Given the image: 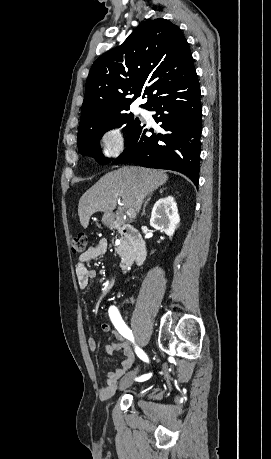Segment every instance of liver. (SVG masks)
<instances>
[{"label": "liver", "instance_id": "6515ba94", "mask_svg": "<svg viewBox=\"0 0 271 459\" xmlns=\"http://www.w3.org/2000/svg\"><path fill=\"white\" fill-rule=\"evenodd\" d=\"M167 174L159 170L127 166L115 172H108L100 178L79 200L78 216L81 226L88 228L89 220L95 212L115 210L118 198L126 210H135L137 200H144L147 194L166 184Z\"/></svg>", "mask_w": 271, "mask_h": 459}]
</instances>
